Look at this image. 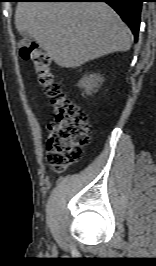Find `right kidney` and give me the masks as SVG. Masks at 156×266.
<instances>
[{
	"label": "right kidney",
	"mask_w": 156,
	"mask_h": 266,
	"mask_svg": "<svg viewBox=\"0 0 156 266\" xmlns=\"http://www.w3.org/2000/svg\"><path fill=\"white\" fill-rule=\"evenodd\" d=\"M103 78L100 75L92 74L83 77L78 86L85 89L86 94H91L94 92V88H98L102 84Z\"/></svg>",
	"instance_id": "1"
}]
</instances>
